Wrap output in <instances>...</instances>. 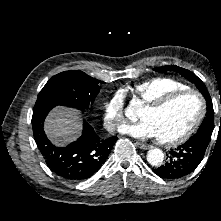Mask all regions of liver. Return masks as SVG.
I'll list each match as a JSON object with an SVG mask.
<instances>
[{
    "mask_svg": "<svg viewBox=\"0 0 221 221\" xmlns=\"http://www.w3.org/2000/svg\"><path fill=\"white\" fill-rule=\"evenodd\" d=\"M80 128L78 116L73 111L58 107L48 115L44 129L54 144L63 146L77 137Z\"/></svg>",
    "mask_w": 221,
    "mask_h": 221,
    "instance_id": "liver-1",
    "label": "liver"
}]
</instances>
